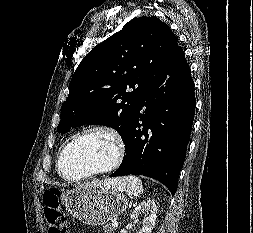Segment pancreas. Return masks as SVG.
Instances as JSON below:
<instances>
[{
	"label": "pancreas",
	"mask_w": 253,
	"mask_h": 233,
	"mask_svg": "<svg viewBox=\"0 0 253 233\" xmlns=\"http://www.w3.org/2000/svg\"><path fill=\"white\" fill-rule=\"evenodd\" d=\"M103 228H104L106 233H111L114 230V227L111 226L110 224L104 225Z\"/></svg>",
	"instance_id": "obj_1"
}]
</instances>
